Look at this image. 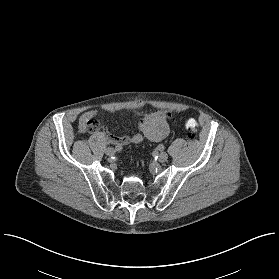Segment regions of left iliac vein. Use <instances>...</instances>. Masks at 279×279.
I'll list each match as a JSON object with an SVG mask.
<instances>
[{
    "label": "left iliac vein",
    "instance_id": "4c4485c4",
    "mask_svg": "<svg viewBox=\"0 0 279 279\" xmlns=\"http://www.w3.org/2000/svg\"><path fill=\"white\" fill-rule=\"evenodd\" d=\"M158 159L160 162H165L168 159V154L166 152H161Z\"/></svg>",
    "mask_w": 279,
    "mask_h": 279
}]
</instances>
